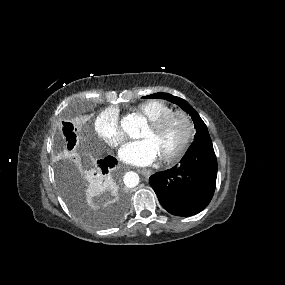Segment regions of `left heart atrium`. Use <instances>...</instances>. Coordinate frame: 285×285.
Returning a JSON list of instances; mask_svg holds the SVG:
<instances>
[{
  "label": "left heart atrium",
  "mask_w": 285,
  "mask_h": 285,
  "mask_svg": "<svg viewBox=\"0 0 285 285\" xmlns=\"http://www.w3.org/2000/svg\"><path fill=\"white\" fill-rule=\"evenodd\" d=\"M119 156L128 164L147 166L155 162L160 157V153L154 141L147 138L125 144Z\"/></svg>",
  "instance_id": "left-heart-atrium-1"
}]
</instances>
